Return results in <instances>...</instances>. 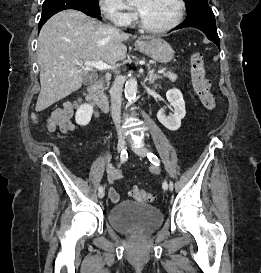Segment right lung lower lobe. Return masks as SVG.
<instances>
[{"label": "right lung lower lobe", "instance_id": "1", "mask_svg": "<svg viewBox=\"0 0 261 273\" xmlns=\"http://www.w3.org/2000/svg\"><path fill=\"white\" fill-rule=\"evenodd\" d=\"M68 9H76L79 11H82L88 16L101 19L100 17V11H95L94 9L89 8L83 0H71L69 2V8ZM55 14V13H54ZM54 14L51 15H42L40 22H39V30L43 26V24Z\"/></svg>", "mask_w": 261, "mask_h": 273}]
</instances>
